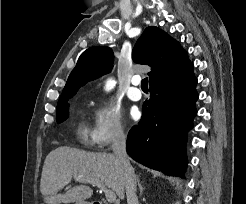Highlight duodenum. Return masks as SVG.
Here are the masks:
<instances>
[{
	"label": "duodenum",
	"mask_w": 246,
	"mask_h": 204,
	"mask_svg": "<svg viewBox=\"0 0 246 204\" xmlns=\"http://www.w3.org/2000/svg\"><path fill=\"white\" fill-rule=\"evenodd\" d=\"M91 204H103V203L95 201V202H92Z\"/></svg>",
	"instance_id": "obj_1"
}]
</instances>
